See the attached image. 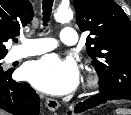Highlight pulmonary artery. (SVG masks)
<instances>
[{
  "instance_id": "e3ab8cb5",
  "label": "pulmonary artery",
  "mask_w": 131,
  "mask_h": 115,
  "mask_svg": "<svg viewBox=\"0 0 131 115\" xmlns=\"http://www.w3.org/2000/svg\"><path fill=\"white\" fill-rule=\"evenodd\" d=\"M60 38L65 45H75L78 41V34L73 27H64L61 30ZM55 42L52 39H26L23 45L13 52V59H21L28 56L38 55L52 50Z\"/></svg>"
}]
</instances>
